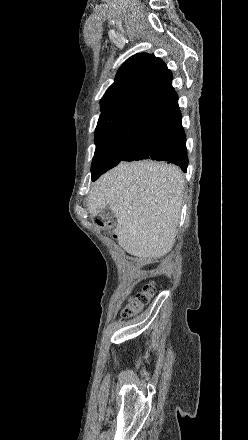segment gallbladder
<instances>
[{
	"mask_svg": "<svg viewBox=\"0 0 248 440\" xmlns=\"http://www.w3.org/2000/svg\"><path fill=\"white\" fill-rule=\"evenodd\" d=\"M100 217L105 221H108L114 217V213L112 212L110 206H106L100 211Z\"/></svg>",
	"mask_w": 248,
	"mask_h": 440,
	"instance_id": "bac80fb5",
	"label": "gallbladder"
}]
</instances>
